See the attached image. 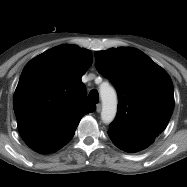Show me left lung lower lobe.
<instances>
[{
	"mask_svg": "<svg viewBox=\"0 0 187 187\" xmlns=\"http://www.w3.org/2000/svg\"><path fill=\"white\" fill-rule=\"evenodd\" d=\"M111 140L113 143L120 149L126 151V152H137L145 149L148 146H138V145H129L125 143V139L128 138L126 135H120V134H109Z\"/></svg>",
	"mask_w": 187,
	"mask_h": 187,
	"instance_id": "left-lung-lower-lobe-1",
	"label": "left lung lower lobe"
}]
</instances>
